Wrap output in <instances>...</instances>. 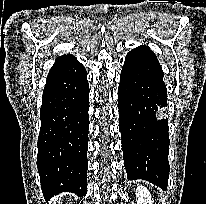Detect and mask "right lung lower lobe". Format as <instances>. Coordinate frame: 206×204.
I'll return each mask as SVG.
<instances>
[{"instance_id":"98d812e1","label":"right lung lower lobe","mask_w":206,"mask_h":204,"mask_svg":"<svg viewBox=\"0 0 206 204\" xmlns=\"http://www.w3.org/2000/svg\"><path fill=\"white\" fill-rule=\"evenodd\" d=\"M89 84L77 60L49 72L40 109L37 167L46 199L87 192Z\"/></svg>"}]
</instances>
